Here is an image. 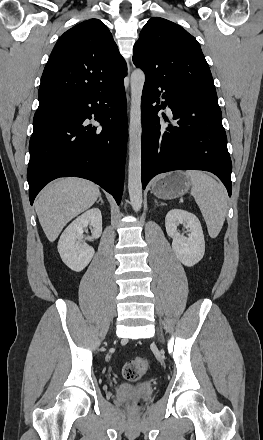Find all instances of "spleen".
Here are the masks:
<instances>
[{"label": "spleen", "mask_w": 263, "mask_h": 440, "mask_svg": "<svg viewBox=\"0 0 263 440\" xmlns=\"http://www.w3.org/2000/svg\"><path fill=\"white\" fill-rule=\"evenodd\" d=\"M184 175L191 182V195L200 208L211 238H216L225 221L228 194L225 187L203 171L190 170Z\"/></svg>", "instance_id": "3e777b00"}]
</instances>
